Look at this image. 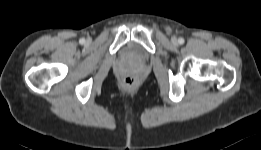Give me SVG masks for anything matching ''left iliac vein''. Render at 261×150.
<instances>
[{"instance_id":"obj_1","label":"left iliac vein","mask_w":261,"mask_h":150,"mask_svg":"<svg viewBox=\"0 0 261 150\" xmlns=\"http://www.w3.org/2000/svg\"><path fill=\"white\" fill-rule=\"evenodd\" d=\"M171 41H172L173 44H176L177 43V38L176 37H172Z\"/></svg>"}]
</instances>
